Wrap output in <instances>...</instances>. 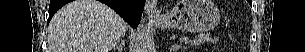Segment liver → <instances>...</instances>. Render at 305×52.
<instances>
[{"label": "liver", "instance_id": "liver-1", "mask_svg": "<svg viewBox=\"0 0 305 52\" xmlns=\"http://www.w3.org/2000/svg\"><path fill=\"white\" fill-rule=\"evenodd\" d=\"M126 29V22L107 5L95 0H75L52 18L48 52H110Z\"/></svg>", "mask_w": 305, "mask_h": 52}]
</instances>
